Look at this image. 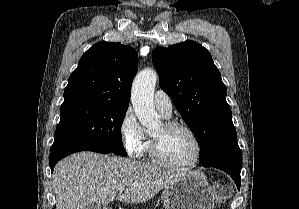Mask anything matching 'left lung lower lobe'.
Returning a JSON list of instances; mask_svg holds the SVG:
<instances>
[{"instance_id":"left-lung-lower-lobe-1","label":"left lung lower lobe","mask_w":299,"mask_h":209,"mask_svg":"<svg viewBox=\"0 0 299 209\" xmlns=\"http://www.w3.org/2000/svg\"><path fill=\"white\" fill-rule=\"evenodd\" d=\"M203 167H215L228 173L238 189L241 184V150L237 142V134L225 138L201 164Z\"/></svg>"}]
</instances>
